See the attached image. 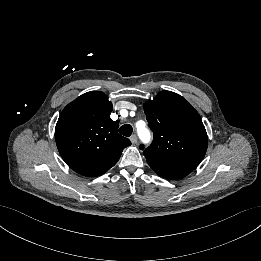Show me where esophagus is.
<instances>
[{"instance_id":"34e87169","label":"esophagus","mask_w":261,"mask_h":261,"mask_svg":"<svg viewBox=\"0 0 261 261\" xmlns=\"http://www.w3.org/2000/svg\"><path fill=\"white\" fill-rule=\"evenodd\" d=\"M130 141L133 143V144H136L138 142V138L137 136L134 134L130 137Z\"/></svg>"}]
</instances>
